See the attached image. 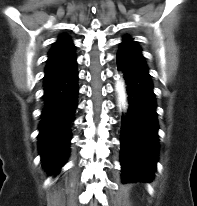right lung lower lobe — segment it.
I'll use <instances>...</instances> for the list:
<instances>
[{
    "label": "right lung lower lobe",
    "instance_id": "98d812e1",
    "mask_svg": "<svg viewBox=\"0 0 197 206\" xmlns=\"http://www.w3.org/2000/svg\"><path fill=\"white\" fill-rule=\"evenodd\" d=\"M76 58L57 77L44 84L45 107L39 124L38 146L44 167L50 173L66 162L70 149L71 124L77 107Z\"/></svg>",
    "mask_w": 197,
    "mask_h": 206
}]
</instances>
